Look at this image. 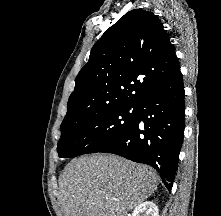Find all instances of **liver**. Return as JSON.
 <instances>
[{
  "mask_svg": "<svg viewBox=\"0 0 221 216\" xmlns=\"http://www.w3.org/2000/svg\"><path fill=\"white\" fill-rule=\"evenodd\" d=\"M158 176L146 165L115 155L73 159L59 177L64 216H127L156 191Z\"/></svg>",
  "mask_w": 221,
  "mask_h": 216,
  "instance_id": "6515ba94",
  "label": "liver"
}]
</instances>
